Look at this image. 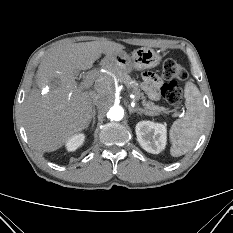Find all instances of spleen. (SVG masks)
Here are the masks:
<instances>
[{
	"label": "spleen",
	"mask_w": 233,
	"mask_h": 233,
	"mask_svg": "<svg viewBox=\"0 0 233 233\" xmlns=\"http://www.w3.org/2000/svg\"><path fill=\"white\" fill-rule=\"evenodd\" d=\"M184 96L186 113L183 118L176 120L170 129V153L173 157L184 155L192 149L204 127L205 108L197 86L187 82Z\"/></svg>",
	"instance_id": "obj_1"
}]
</instances>
